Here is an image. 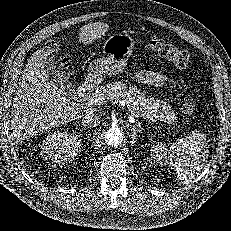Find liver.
<instances>
[{"mask_svg":"<svg viewBox=\"0 0 231 231\" xmlns=\"http://www.w3.org/2000/svg\"><path fill=\"white\" fill-rule=\"evenodd\" d=\"M108 27L103 22L84 25L80 28L79 41L89 44L105 34ZM48 55L49 50H37L30 56L22 71L11 111L10 129L15 143L91 112L88 107L68 100L50 81L45 69Z\"/></svg>","mask_w":231,"mask_h":231,"instance_id":"liver-1","label":"liver"}]
</instances>
